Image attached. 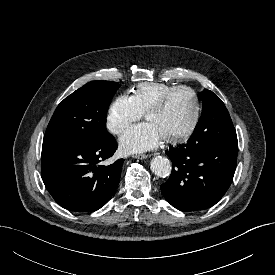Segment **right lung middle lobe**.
I'll use <instances>...</instances> for the list:
<instances>
[{
	"label": "right lung middle lobe",
	"mask_w": 275,
	"mask_h": 275,
	"mask_svg": "<svg viewBox=\"0 0 275 275\" xmlns=\"http://www.w3.org/2000/svg\"><path fill=\"white\" fill-rule=\"evenodd\" d=\"M117 88V82L93 81L66 97L56 108L43 143H98L110 136L107 109Z\"/></svg>",
	"instance_id": "obj_1"
}]
</instances>
